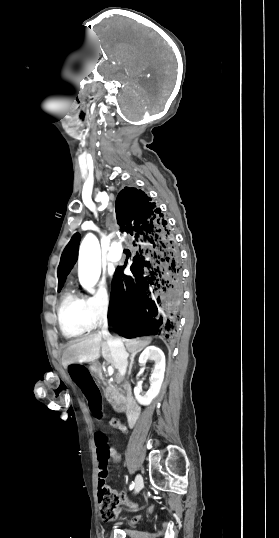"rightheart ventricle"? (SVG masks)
<instances>
[{
  "instance_id": "right-heart-ventricle-1",
  "label": "right heart ventricle",
  "mask_w": 279,
  "mask_h": 538,
  "mask_svg": "<svg viewBox=\"0 0 279 538\" xmlns=\"http://www.w3.org/2000/svg\"><path fill=\"white\" fill-rule=\"evenodd\" d=\"M55 220L59 221L57 214ZM90 227L89 224L85 229ZM57 315L60 329L67 338L80 336L92 328L87 315V297L77 293L73 286H69L63 293Z\"/></svg>"
}]
</instances>
